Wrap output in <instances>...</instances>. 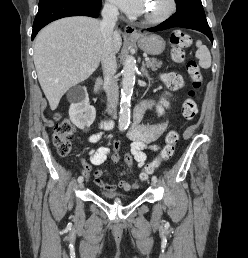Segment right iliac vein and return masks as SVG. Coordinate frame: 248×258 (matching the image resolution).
<instances>
[{"label": "right iliac vein", "mask_w": 248, "mask_h": 258, "mask_svg": "<svg viewBox=\"0 0 248 258\" xmlns=\"http://www.w3.org/2000/svg\"><path fill=\"white\" fill-rule=\"evenodd\" d=\"M84 187V183L83 182H80L79 183V188L82 189Z\"/></svg>", "instance_id": "1"}]
</instances>
